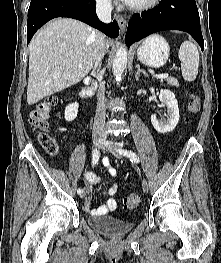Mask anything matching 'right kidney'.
<instances>
[{
  "instance_id": "1",
  "label": "right kidney",
  "mask_w": 221,
  "mask_h": 263,
  "mask_svg": "<svg viewBox=\"0 0 221 263\" xmlns=\"http://www.w3.org/2000/svg\"><path fill=\"white\" fill-rule=\"evenodd\" d=\"M79 104L77 102L71 103L65 108V119L67 121H73L77 117Z\"/></svg>"
}]
</instances>
